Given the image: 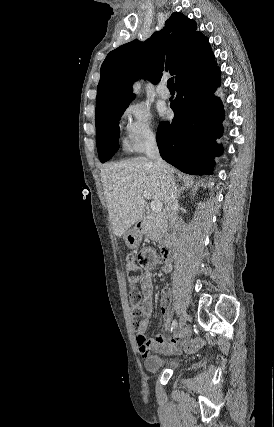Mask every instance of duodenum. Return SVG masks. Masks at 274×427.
I'll return each mask as SVG.
<instances>
[{
  "label": "duodenum",
  "mask_w": 274,
  "mask_h": 427,
  "mask_svg": "<svg viewBox=\"0 0 274 427\" xmlns=\"http://www.w3.org/2000/svg\"><path fill=\"white\" fill-rule=\"evenodd\" d=\"M137 227L140 230L142 227V224L139 222L137 224ZM171 249H172V240H164L161 243L160 252H161L162 259L165 262H169L171 260Z\"/></svg>",
  "instance_id": "410a0bca"
}]
</instances>
